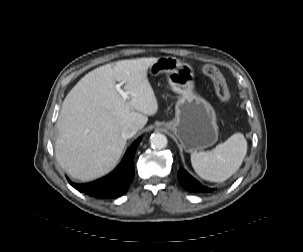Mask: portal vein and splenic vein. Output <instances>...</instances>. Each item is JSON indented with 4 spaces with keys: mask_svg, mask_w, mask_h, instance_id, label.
<instances>
[{
    "mask_svg": "<svg viewBox=\"0 0 303 252\" xmlns=\"http://www.w3.org/2000/svg\"><path fill=\"white\" fill-rule=\"evenodd\" d=\"M115 89L121 94L124 100H127L129 98L128 93L121 89V84H116Z\"/></svg>",
    "mask_w": 303,
    "mask_h": 252,
    "instance_id": "1",
    "label": "portal vein and splenic vein"
}]
</instances>
